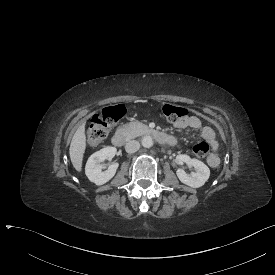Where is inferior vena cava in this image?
<instances>
[{
	"label": "inferior vena cava",
	"instance_id": "1",
	"mask_svg": "<svg viewBox=\"0 0 275 275\" xmlns=\"http://www.w3.org/2000/svg\"><path fill=\"white\" fill-rule=\"evenodd\" d=\"M140 148V143L136 140H131L126 143L125 150L127 153H135Z\"/></svg>",
	"mask_w": 275,
	"mask_h": 275
}]
</instances>
